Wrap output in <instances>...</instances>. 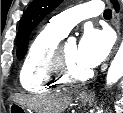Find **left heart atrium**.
I'll return each mask as SVG.
<instances>
[{
  "label": "left heart atrium",
  "mask_w": 123,
  "mask_h": 113,
  "mask_svg": "<svg viewBox=\"0 0 123 113\" xmlns=\"http://www.w3.org/2000/svg\"><path fill=\"white\" fill-rule=\"evenodd\" d=\"M111 44L107 32L95 28L86 29L77 46L78 62L87 69L95 68L108 56Z\"/></svg>",
  "instance_id": "obj_1"
}]
</instances>
